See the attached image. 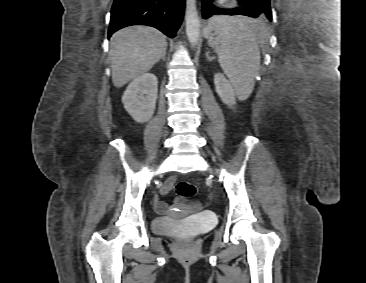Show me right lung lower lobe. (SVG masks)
Masks as SVG:
<instances>
[{"mask_svg":"<svg viewBox=\"0 0 366 283\" xmlns=\"http://www.w3.org/2000/svg\"><path fill=\"white\" fill-rule=\"evenodd\" d=\"M184 8L185 0H114L108 38L132 25L152 26L173 38L181 25Z\"/></svg>","mask_w":366,"mask_h":283,"instance_id":"right-lung-lower-lobe-1","label":"right lung lower lobe"}]
</instances>
